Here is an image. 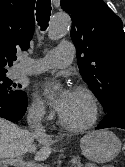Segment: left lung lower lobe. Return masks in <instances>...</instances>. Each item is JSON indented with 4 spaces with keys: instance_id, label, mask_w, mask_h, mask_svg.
I'll return each mask as SVG.
<instances>
[{
    "instance_id": "1",
    "label": "left lung lower lobe",
    "mask_w": 125,
    "mask_h": 167,
    "mask_svg": "<svg viewBox=\"0 0 125 167\" xmlns=\"http://www.w3.org/2000/svg\"><path fill=\"white\" fill-rule=\"evenodd\" d=\"M109 127H118L125 129V104L114 105L107 112L105 118L96 127L103 129Z\"/></svg>"
}]
</instances>
